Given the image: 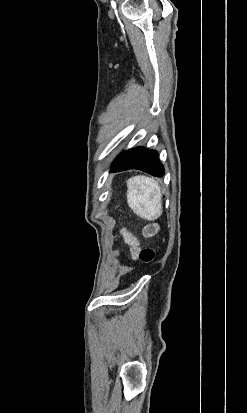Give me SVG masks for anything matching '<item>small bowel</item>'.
<instances>
[{
  "label": "small bowel",
  "mask_w": 247,
  "mask_h": 413,
  "mask_svg": "<svg viewBox=\"0 0 247 413\" xmlns=\"http://www.w3.org/2000/svg\"><path fill=\"white\" fill-rule=\"evenodd\" d=\"M156 232H157V227H156L155 225H153V224L146 226V227L144 228V231H143V233H144V235H145L146 237H151V236H153ZM121 233H122V235H123V237H124V239H125L126 242H127V240H126L127 236H128L129 234L132 235L126 228H122V229H121ZM132 236H133V235H132ZM135 239H136V238H135ZM136 241H137V240H136ZM138 247H139V244H138V242H137V243H136V248L138 249Z\"/></svg>",
  "instance_id": "1"
}]
</instances>
